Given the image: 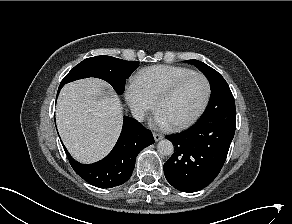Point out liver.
Returning <instances> with one entry per match:
<instances>
[{
  "label": "liver",
  "mask_w": 292,
  "mask_h": 224,
  "mask_svg": "<svg viewBox=\"0 0 292 224\" xmlns=\"http://www.w3.org/2000/svg\"><path fill=\"white\" fill-rule=\"evenodd\" d=\"M56 120L70 154L81 163H93L112 149L119 136L121 102L106 82L81 79L62 88Z\"/></svg>",
  "instance_id": "6515ba94"
}]
</instances>
